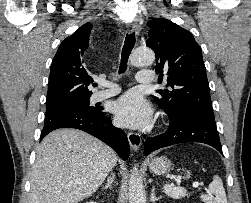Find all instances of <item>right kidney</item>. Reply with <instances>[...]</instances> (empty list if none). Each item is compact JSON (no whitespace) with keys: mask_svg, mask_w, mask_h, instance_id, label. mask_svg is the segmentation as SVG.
Instances as JSON below:
<instances>
[{"mask_svg":"<svg viewBox=\"0 0 251 203\" xmlns=\"http://www.w3.org/2000/svg\"><path fill=\"white\" fill-rule=\"evenodd\" d=\"M86 203H96V202H86Z\"/></svg>","mask_w":251,"mask_h":203,"instance_id":"obj_1","label":"right kidney"}]
</instances>
